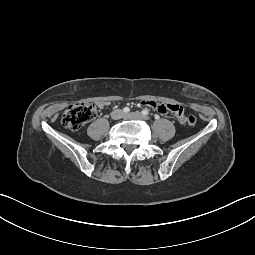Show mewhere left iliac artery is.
I'll return each mask as SVG.
<instances>
[{
	"instance_id": "obj_1",
	"label": "left iliac artery",
	"mask_w": 255,
	"mask_h": 255,
	"mask_svg": "<svg viewBox=\"0 0 255 255\" xmlns=\"http://www.w3.org/2000/svg\"><path fill=\"white\" fill-rule=\"evenodd\" d=\"M142 114H143V115H148V114H149V111H148L147 109H144V110L142 111Z\"/></svg>"
}]
</instances>
